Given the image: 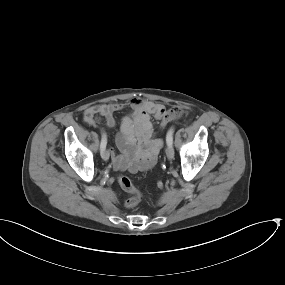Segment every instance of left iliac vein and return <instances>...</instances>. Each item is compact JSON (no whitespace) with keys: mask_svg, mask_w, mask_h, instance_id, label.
Instances as JSON below:
<instances>
[{"mask_svg":"<svg viewBox=\"0 0 285 285\" xmlns=\"http://www.w3.org/2000/svg\"><path fill=\"white\" fill-rule=\"evenodd\" d=\"M166 156L169 160L174 158V149H173L172 145H167Z\"/></svg>","mask_w":285,"mask_h":285,"instance_id":"4c4485c4","label":"left iliac vein"}]
</instances>
